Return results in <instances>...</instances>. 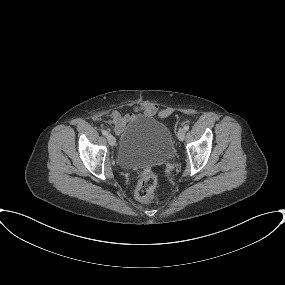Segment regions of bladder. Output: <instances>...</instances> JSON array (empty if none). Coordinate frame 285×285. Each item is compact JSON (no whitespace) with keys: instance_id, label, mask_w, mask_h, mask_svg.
<instances>
[{"instance_id":"1","label":"bladder","mask_w":285,"mask_h":285,"mask_svg":"<svg viewBox=\"0 0 285 285\" xmlns=\"http://www.w3.org/2000/svg\"><path fill=\"white\" fill-rule=\"evenodd\" d=\"M175 155L169 127L158 118L135 115L122 132L118 162L126 169H143L164 163Z\"/></svg>"}]
</instances>
